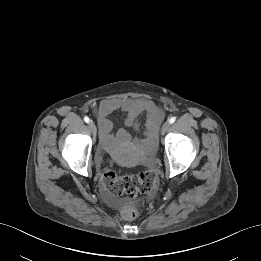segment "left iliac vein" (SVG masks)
<instances>
[{"label":"left iliac vein","instance_id":"4c4485c4","mask_svg":"<svg viewBox=\"0 0 261 261\" xmlns=\"http://www.w3.org/2000/svg\"><path fill=\"white\" fill-rule=\"evenodd\" d=\"M170 129V123L168 121H166L163 125H162V133L167 132Z\"/></svg>","mask_w":261,"mask_h":261}]
</instances>
